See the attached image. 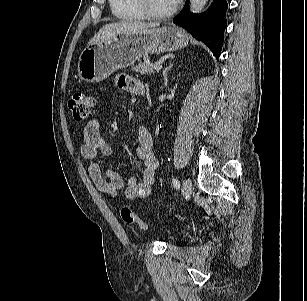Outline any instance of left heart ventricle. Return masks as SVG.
Here are the masks:
<instances>
[{"label":"left heart ventricle","instance_id":"obj_1","mask_svg":"<svg viewBox=\"0 0 307 301\" xmlns=\"http://www.w3.org/2000/svg\"><path fill=\"white\" fill-rule=\"evenodd\" d=\"M149 7L157 13H164L169 11L174 3L172 0H147Z\"/></svg>","mask_w":307,"mask_h":301}]
</instances>
